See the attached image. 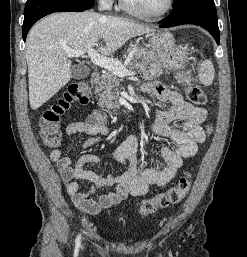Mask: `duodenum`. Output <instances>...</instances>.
I'll use <instances>...</instances> for the list:
<instances>
[{
    "label": "duodenum",
    "mask_w": 247,
    "mask_h": 257,
    "mask_svg": "<svg viewBox=\"0 0 247 257\" xmlns=\"http://www.w3.org/2000/svg\"><path fill=\"white\" fill-rule=\"evenodd\" d=\"M100 80V73L95 71V72H92L91 73V76H90V81L92 84H97ZM116 113L118 114H125L126 113V110L125 109H119V110H116Z\"/></svg>",
    "instance_id": "obj_1"
}]
</instances>
